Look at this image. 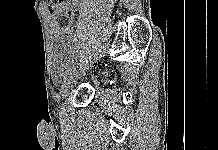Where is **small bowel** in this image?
Here are the masks:
<instances>
[{
  "label": "small bowel",
  "instance_id": "c3829d8e",
  "mask_svg": "<svg viewBox=\"0 0 218 150\" xmlns=\"http://www.w3.org/2000/svg\"><path fill=\"white\" fill-rule=\"evenodd\" d=\"M80 0H63L59 5L51 8V27L56 37L73 39L76 33L71 26L62 27L58 23V17H65L71 20Z\"/></svg>",
  "mask_w": 218,
  "mask_h": 150
}]
</instances>
